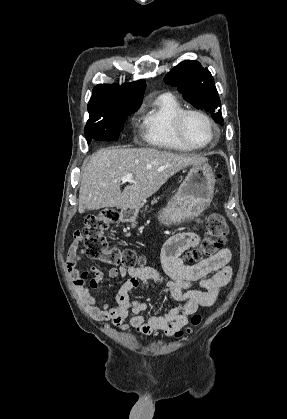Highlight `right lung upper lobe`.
<instances>
[{"instance_id":"obj_1","label":"right lung upper lobe","mask_w":287,"mask_h":419,"mask_svg":"<svg viewBox=\"0 0 287 419\" xmlns=\"http://www.w3.org/2000/svg\"><path fill=\"white\" fill-rule=\"evenodd\" d=\"M146 83L139 80L132 83L99 84L93 89L88 103L89 114L105 109H115L125 106H140L145 92Z\"/></svg>"}]
</instances>
